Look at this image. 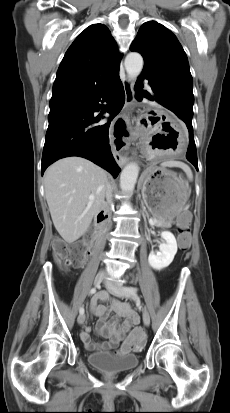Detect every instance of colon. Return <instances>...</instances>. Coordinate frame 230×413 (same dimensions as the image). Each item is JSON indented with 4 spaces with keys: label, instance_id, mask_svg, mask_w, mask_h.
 <instances>
[{
    "label": "colon",
    "instance_id": "obj_1",
    "mask_svg": "<svg viewBox=\"0 0 230 413\" xmlns=\"http://www.w3.org/2000/svg\"><path fill=\"white\" fill-rule=\"evenodd\" d=\"M177 230L179 233L178 243L180 244L181 252H188L192 246V241L188 238L189 227L187 215H182L177 222ZM52 252L56 261L64 270L77 265L82 261L87 254V246L83 242H77L72 245H67L64 241L55 240L52 243ZM144 337L141 329L136 328L132 331L127 339L128 346L133 348H140L143 344Z\"/></svg>",
    "mask_w": 230,
    "mask_h": 413
}]
</instances>
